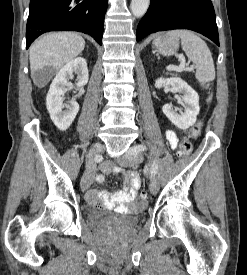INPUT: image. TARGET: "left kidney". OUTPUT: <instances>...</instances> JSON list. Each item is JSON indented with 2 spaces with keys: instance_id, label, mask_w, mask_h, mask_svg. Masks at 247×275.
I'll list each match as a JSON object with an SVG mask.
<instances>
[{
  "instance_id": "left-kidney-1",
  "label": "left kidney",
  "mask_w": 247,
  "mask_h": 275,
  "mask_svg": "<svg viewBox=\"0 0 247 275\" xmlns=\"http://www.w3.org/2000/svg\"><path fill=\"white\" fill-rule=\"evenodd\" d=\"M169 86L183 94L182 104L184 112L178 113L177 109H174L170 104H165L162 107V111L176 127L182 130L188 129L195 124L200 111L198 93L178 77L159 78L156 80V88H167Z\"/></svg>"
}]
</instances>
